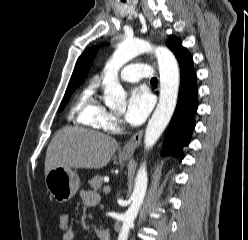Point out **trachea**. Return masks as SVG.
<instances>
[{
    "instance_id": "trachea-1",
    "label": "trachea",
    "mask_w": 248,
    "mask_h": 240,
    "mask_svg": "<svg viewBox=\"0 0 248 240\" xmlns=\"http://www.w3.org/2000/svg\"><path fill=\"white\" fill-rule=\"evenodd\" d=\"M150 82H151V84H157L158 80L156 77H153Z\"/></svg>"
}]
</instances>
